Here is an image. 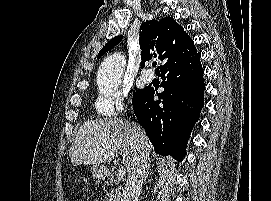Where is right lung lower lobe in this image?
Listing matches in <instances>:
<instances>
[{"label": "right lung lower lobe", "mask_w": 271, "mask_h": 201, "mask_svg": "<svg viewBox=\"0 0 271 201\" xmlns=\"http://www.w3.org/2000/svg\"><path fill=\"white\" fill-rule=\"evenodd\" d=\"M162 93L145 87L133 96L134 113L160 155L179 162L186 155L187 141L204 106L203 68L200 54L189 37L181 51L158 71ZM157 95L161 100L154 101Z\"/></svg>", "instance_id": "1"}]
</instances>
